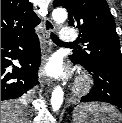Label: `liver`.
<instances>
[{
    "instance_id": "1",
    "label": "liver",
    "mask_w": 122,
    "mask_h": 123,
    "mask_svg": "<svg viewBox=\"0 0 122 123\" xmlns=\"http://www.w3.org/2000/svg\"><path fill=\"white\" fill-rule=\"evenodd\" d=\"M22 109L10 102H1V123H26Z\"/></svg>"
}]
</instances>
